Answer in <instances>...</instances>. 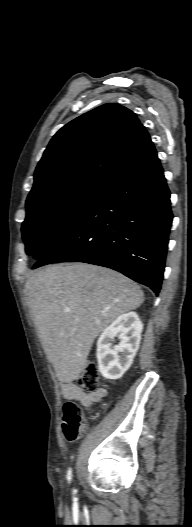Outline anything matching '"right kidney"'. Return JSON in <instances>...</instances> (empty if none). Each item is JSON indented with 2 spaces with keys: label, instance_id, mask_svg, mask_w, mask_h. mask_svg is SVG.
I'll list each match as a JSON object with an SVG mask.
<instances>
[{
  "label": "right kidney",
  "instance_id": "ca27d5eb",
  "mask_svg": "<svg viewBox=\"0 0 192 527\" xmlns=\"http://www.w3.org/2000/svg\"><path fill=\"white\" fill-rule=\"evenodd\" d=\"M142 330L143 324L135 312L119 316L104 329L97 341L96 354L103 377L119 379L129 369L139 348ZM115 337L120 342L112 346Z\"/></svg>",
  "mask_w": 192,
  "mask_h": 527
}]
</instances>
